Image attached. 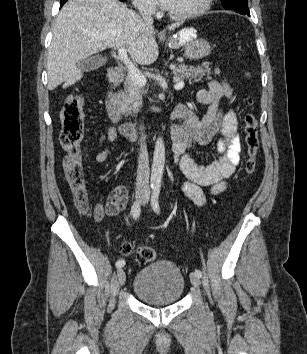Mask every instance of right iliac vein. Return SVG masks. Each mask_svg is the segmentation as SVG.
Returning <instances> with one entry per match:
<instances>
[{
  "label": "right iliac vein",
  "mask_w": 307,
  "mask_h": 354,
  "mask_svg": "<svg viewBox=\"0 0 307 354\" xmlns=\"http://www.w3.org/2000/svg\"><path fill=\"white\" fill-rule=\"evenodd\" d=\"M141 198H142V196L139 194L138 199H141ZM117 277H118V281H119L120 285H123L126 281V274L123 269H121V268L118 269Z\"/></svg>",
  "instance_id": "obj_1"
}]
</instances>
